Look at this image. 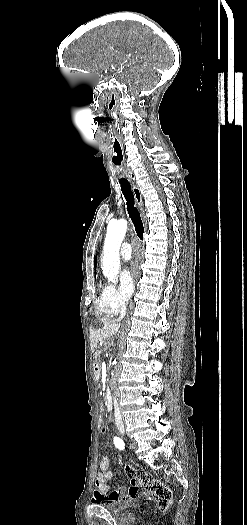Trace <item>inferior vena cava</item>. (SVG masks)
Masks as SVG:
<instances>
[{
  "label": "inferior vena cava",
  "mask_w": 247,
  "mask_h": 525,
  "mask_svg": "<svg viewBox=\"0 0 247 525\" xmlns=\"http://www.w3.org/2000/svg\"><path fill=\"white\" fill-rule=\"evenodd\" d=\"M120 307H121V311H120V317L118 319V323H120V321L124 319L126 315V311H127L125 303H121Z\"/></svg>",
  "instance_id": "obj_1"
}]
</instances>
